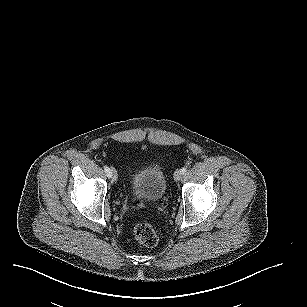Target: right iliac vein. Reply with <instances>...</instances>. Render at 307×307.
Here are the masks:
<instances>
[{"mask_svg":"<svg viewBox=\"0 0 307 307\" xmlns=\"http://www.w3.org/2000/svg\"><path fill=\"white\" fill-rule=\"evenodd\" d=\"M110 175L113 181H117L118 180V174L115 168L111 167L110 169Z\"/></svg>","mask_w":307,"mask_h":307,"instance_id":"1","label":"right iliac vein"}]
</instances>
